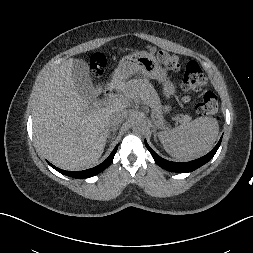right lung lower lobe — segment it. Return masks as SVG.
<instances>
[{"instance_id":"98d812e1","label":"right lung lower lobe","mask_w":253,"mask_h":253,"mask_svg":"<svg viewBox=\"0 0 253 253\" xmlns=\"http://www.w3.org/2000/svg\"><path fill=\"white\" fill-rule=\"evenodd\" d=\"M118 146H116L114 148V150L112 151V153L109 155V157L100 165L88 169V170H83V171H78V172H71V171H65L62 169L57 168L56 166L52 165L51 163L48 162V164L53 167L55 170H57L58 172L76 178V179H81V178H88V177H92L94 175L99 174L100 172H102L104 169H106L113 161L114 155L117 151Z\"/></svg>"}]
</instances>
